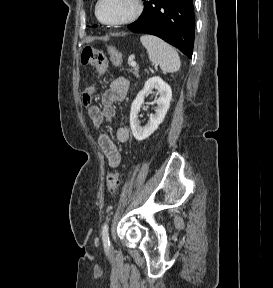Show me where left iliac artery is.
I'll list each match as a JSON object with an SVG mask.
<instances>
[{
    "mask_svg": "<svg viewBox=\"0 0 273 288\" xmlns=\"http://www.w3.org/2000/svg\"><path fill=\"white\" fill-rule=\"evenodd\" d=\"M102 240L105 247L110 246L108 223H105L102 228Z\"/></svg>",
    "mask_w": 273,
    "mask_h": 288,
    "instance_id": "44dca946",
    "label": "left iliac artery"
}]
</instances>
